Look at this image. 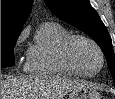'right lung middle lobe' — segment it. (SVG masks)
<instances>
[{
    "label": "right lung middle lobe",
    "instance_id": "obj_1",
    "mask_svg": "<svg viewBox=\"0 0 115 99\" xmlns=\"http://www.w3.org/2000/svg\"><path fill=\"white\" fill-rule=\"evenodd\" d=\"M19 34H1V68L14 65L13 48Z\"/></svg>",
    "mask_w": 115,
    "mask_h": 99
}]
</instances>
